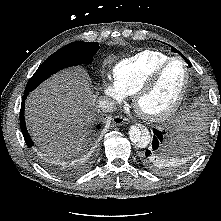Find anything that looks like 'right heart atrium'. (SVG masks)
Masks as SVG:
<instances>
[{
	"instance_id": "obj_1",
	"label": "right heart atrium",
	"mask_w": 221,
	"mask_h": 221,
	"mask_svg": "<svg viewBox=\"0 0 221 221\" xmlns=\"http://www.w3.org/2000/svg\"><path fill=\"white\" fill-rule=\"evenodd\" d=\"M102 92L104 96L114 103H120L126 98V93L112 79H104L102 82Z\"/></svg>"
}]
</instances>
